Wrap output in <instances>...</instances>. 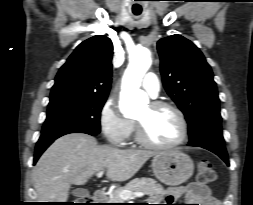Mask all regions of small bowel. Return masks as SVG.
Wrapping results in <instances>:
<instances>
[{
	"label": "small bowel",
	"mask_w": 253,
	"mask_h": 205,
	"mask_svg": "<svg viewBox=\"0 0 253 205\" xmlns=\"http://www.w3.org/2000/svg\"><path fill=\"white\" fill-rule=\"evenodd\" d=\"M181 196H185L189 202L196 203L190 205H219L218 200L212 196L209 187L199 182H192L187 186L170 191L168 200L173 201Z\"/></svg>",
	"instance_id": "small-bowel-1"
}]
</instances>
